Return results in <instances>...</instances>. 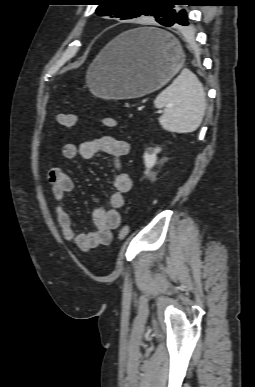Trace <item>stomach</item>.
<instances>
[{"mask_svg":"<svg viewBox=\"0 0 255 387\" xmlns=\"http://www.w3.org/2000/svg\"><path fill=\"white\" fill-rule=\"evenodd\" d=\"M145 32L158 34L156 40ZM184 53L178 41L157 28H137L111 41L88 68L87 85L105 99H131L165 85L182 67Z\"/></svg>","mask_w":255,"mask_h":387,"instance_id":"stomach-1","label":"stomach"}]
</instances>
